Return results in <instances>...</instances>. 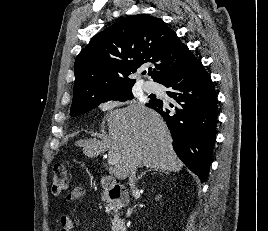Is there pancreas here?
I'll return each instance as SVG.
<instances>
[{"mask_svg": "<svg viewBox=\"0 0 268 231\" xmlns=\"http://www.w3.org/2000/svg\"><path fill=\"white\" fill-rule=\"evenodd\" d=\"M112 206L111 205H107L106 206V212L109 214L111 212Z\"/></svg>", "mask_w": 268, "mask_h": 231, "instance_id": "obj_1", "label": "pancreas"}]
</instances>
